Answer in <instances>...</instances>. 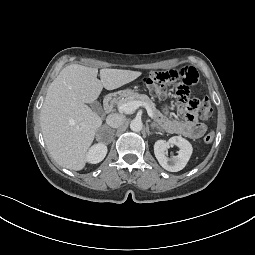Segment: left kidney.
<instances>
[{"label": "left kidney", "instance_id": "1", "mask_svg": "<svg viewBox=\"0 0 255 255\" xmlns=\"http://www.w3.org/2000/svg\"><path fill=\"white\" fill-rule=\"evenodd\" d=\"M170 144L179 147L177 156L167 157L166 149ZM192 145L189 141L181 136H173L167 142L165 140H157L154 144V154L159 164L170 172H178L182 170L189 161L192 154Z\"/></svg>", "mask_w": 255, "mask_h": 255}]
</instances>
